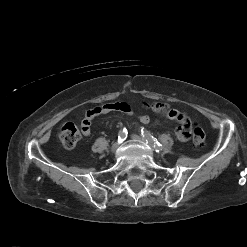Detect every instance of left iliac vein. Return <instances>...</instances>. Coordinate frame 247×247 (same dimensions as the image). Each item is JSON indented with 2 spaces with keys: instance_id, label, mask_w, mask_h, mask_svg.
Listing matches in <instances>:
<instances>
[{
  "instance_id": "left-iliac-vein-1",
  "label": "left iliac vein",
  "mask_w": 247,
  "mask_h": 247,
  "mask_svg": "<svg viewBox=\"0 0 247 247\" xmlns=\"http://www.w3.org/2000/svg\"><path fill=\"white\" fill-rule=\"evenodd\" d=\"M131 138L134 139V140H137V141H141V142H144V141H145L144 138L140 137V136L137 135V134H132V135H131Z\"/></svg>"
}]
</instances>
